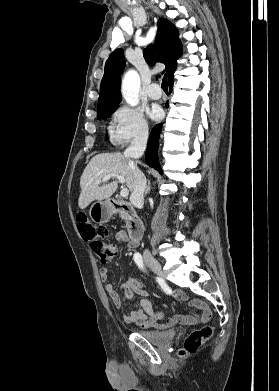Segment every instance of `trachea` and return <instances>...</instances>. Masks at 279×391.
<instances>
[{
    "mask_svg": "<svg viewBox=\"0 0 279 391\" xmlns=\"http://www.w3.org/2000/svg\"><path fill=\"white\" fill-rule=\"evenodd\" d=\"M162 89H163L164 91H168V82H167V76H166V75H164V77H163Z\"/></svg>",
    "mask_w": 279,
    "mask_h": 391,
    "instance_id": "trachea-1",
    "label": "trachea"
}]
</instances>
